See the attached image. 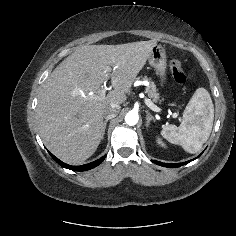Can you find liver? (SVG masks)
Returning <instances> with one entry per match:
<instances>
[{
    "mask_svg": "<svg viewBox=\"0 0 236 236\" xmlns=\"http://www.w3.org/2000/svg\"><path fill=\"white\" fill-rule=\"evenodd\" d=\"M155 40L119 45H82L64 59L45 81L36 119L44 145L59 159L79 164L100 144L103 111L127 100L146 64ZM113 90L100 99L103 83Z\"/></svg>",
    "mask_w": 236,
    "mask_h": 236,
    "instance_id": "1",
    "label": "liver"
}]
</instances>
